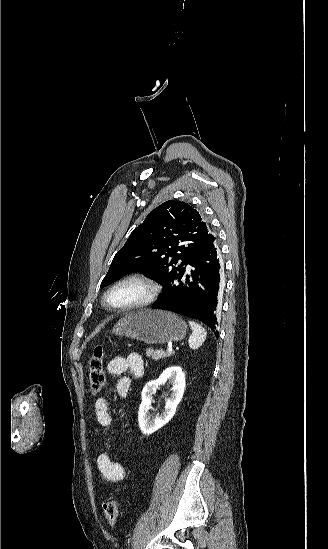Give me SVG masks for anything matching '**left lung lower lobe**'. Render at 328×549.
<instances>
[{
    "mask_svg": "<svg viewBox=\"0 0 328 549\" xmlns=\"http://www.w3.org/2000/svg\"><path fill=\"white\" fill-rule=\"evenodd\" d=\"M173 290L160 298L153 309H161L196 318L216 330L219 298L223 290L219 248L213 241L189 262Z\"/></svg>",
    "mask_w": 328,
    "mask_h": 549,
    "instance_id": "obj_1",
    "label": "left lung lower lobe"
}]
</instances>
